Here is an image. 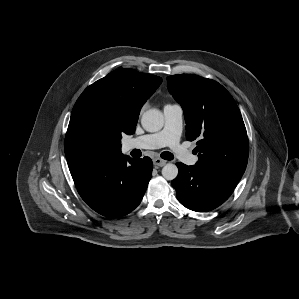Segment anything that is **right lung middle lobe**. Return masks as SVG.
<instances>
[{"label":"right lung middle lobe","instance_id":"dd1d6c3e","mask_svg":"<svg viewBox=\"0 0 299 299\" xmlns=\"http://www.w3.org/2000/svg\"><path fill=\"white\" fill-rule=\"evenodd\" d=\"M126 130L114 106L95 98L77 100L65 136L68 163H94L115 155Z\"/></svg>","mask_w":299,"mask_h":299}]
</instances>
